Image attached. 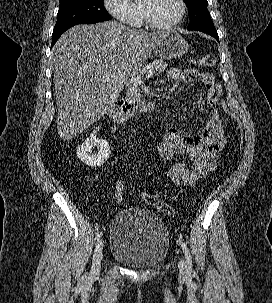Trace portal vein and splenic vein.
<instances>
[{"mask_svg":"<svg viewBox=\"0 0 272 303\" xmlns=\"http://www.w3.org/2000/svg\"><path fill=\"white\" fill-rule=\"evenodd\" d=\"M153 70H149L146 74H145V78L149 79L151 76H153ZM105 80H108L107 78H104ZM143 81L141 80L140 77H132L131 79H129V84L131 85H139L142 84Z\"/></svg>","mask_w":272,"mask_h":303,"instance_id":"obj_1","label":"portal vein and splenic vein"}]
</instances>
